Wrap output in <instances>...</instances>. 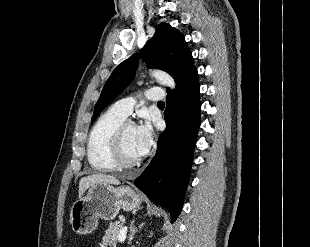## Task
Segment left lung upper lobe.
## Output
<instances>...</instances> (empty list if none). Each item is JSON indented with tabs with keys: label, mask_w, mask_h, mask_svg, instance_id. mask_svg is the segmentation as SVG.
<instances>
[{
	"label": "left lung upper lobe",
	"mask_w": 310,
	"mask_h": 247,
	"mask_svg": "<svg viewBox=\"0 0 310 247\" xmlns=\"http://www.w3.org/2000/svg\"><path fill=\"white\" fill-rule=\"evenodd\" d=\"M140 57L148 67L168 72L177 85L196 69L185 37L167 23L156 27L153 38L140 51ZM138 63L139 56L135 54L114 69L95 105L92 122L132 82Z\"/></svg>",
	"instance_id": "1"
}]
</instances>
